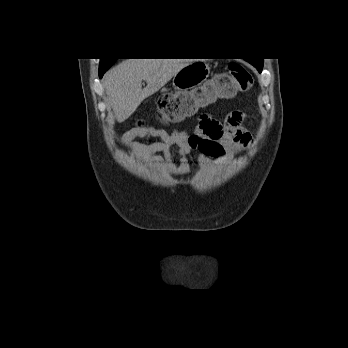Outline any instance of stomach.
Here are the masks:
<instances>
[{"label":"stomach","instance_id":"stomach-1","mask_svg":"<svg viewBox=\"0 0 348 348\" xmlns=\"http://www.w3.org/2000/svg\"><path fill=\"white\" fill-rule=\"evenodd\" d=\"M210 67L203 61H194L180 69L173 77L172 84L183 98V111L185 116L195 114L199 108L206 107L211 99L201 93L189 91L200 86L209 76Z\"/></svg>","mask_w":348,"mask_h":348}]
</instances>
